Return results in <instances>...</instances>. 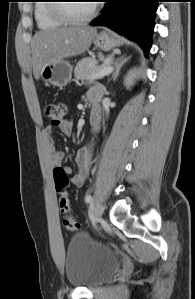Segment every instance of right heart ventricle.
I'll use <instances>...</instances> for the list:
<instances>
[{
  "mask_svg": "<svg viewBox=\"0 0 195 299\" xmlns=\"http://www.w3.org/2000/svg\"><path fill=\"white\" fill-rule=\"evenodd\" d=\"M53 2L51 0H39L34 7V18L36 24L41 29H53L58 28L65 24V22L56 18L52 11L51 6Z\"/></svg>",
  "mask_w": 195,
  "mask_h": 299,
  "instance_id": "1",
  "label": "right heart ventricle"
}]
</instances>
